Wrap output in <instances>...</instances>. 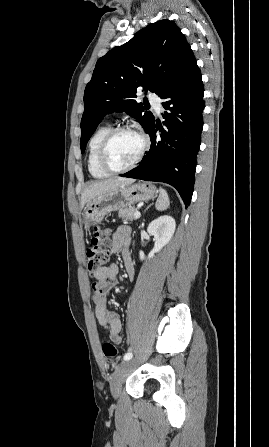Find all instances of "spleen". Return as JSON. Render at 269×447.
<instances>
[{
	"mask_svg": "<svg viewBox=\"0 0 269 447\" xmlns=\"http://www.w3.org/2000/svg\"><path fill=\"white\" fill-rule=\"evenodd\" d=\"M169 206H170L169 196H168L166 190H162V188H160L159 198L155 204V208H156V210H160V212H162V210H167V208H169Z\"/></svg>",
	"mask_w": 269,
	"mask_h": 447,
	"instance_id": "3e777b00",
	"label": "spleen"
}]
</instances>
